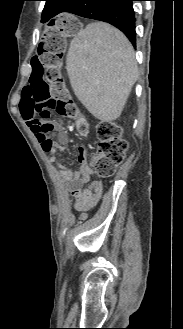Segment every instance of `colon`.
<instances>
[{"instance_id": "1", "label": "colon", "mask_w": 183, "mask_h": 329, "mask_svg": "<svg viewBox=\"0 0 183 329\" xmlns=\"http://www.w3.org/2000/svg\"><path fill=\"white\" fill-rule=\"evenodd\" d=\"M80 23L78 14H55V19H49V25H42V31H37V38L42 40L36 54L29 56V67L33 68V73L43 74H30L27 86H22L20 112L34 117L37 115L43 120H49L54 113L75 118L78 119V129L87 133L88 126L78 117V111L66 90V76L61 71L65 38H77ZM53 129L52 124H39L44 150L52 146L47 135ZM97 135L98 149L91 163L97 176L108 178L123 162L128 144L122 138V128L113 122L100 123Z\"/></svg>"}]
</instances>
